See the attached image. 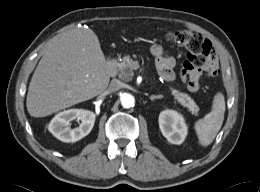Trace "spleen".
<instances>
[{
	"instance_id": "spleen-1",
	"label": "spleen",
	"mask_w": 260,
	"mask_h": 192,
	"mask_svg": "<svg viewBox=\"0 0 260 192\" xmlns=\"http://www.w3.org/2000/svg\"><path fill=\"white\" fill-rule=\"evenodd\" d=\"M225 113V99L221 92L215 94L212 110L195 123V131L201 146L210 145L221 129Z\"/></svg>"
}]
</instances>
